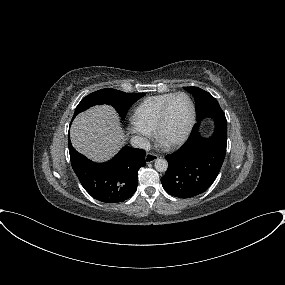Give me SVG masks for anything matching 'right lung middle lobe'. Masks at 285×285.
Returning <instances> with one entry per match:
<instances>
[{
    "label": "right lung middle lobe",
    "mask_w": 285,
    "mask_h": 285,
    "mask_svg": "<svg viewBox=\"0 0 285 285\" xmlns=\"http://www.w3.org/2000/svg\"><path fill=\"white\" fill-rule=\"evenodd\" d=\"M144 95L145 93L130 94L111 88L101 89L83 98L76 107L73 117L93 105L108 104L113 106L124 119L129 108Z\"/></svg>",
    "instance_id": "1"
}]
</instances>
